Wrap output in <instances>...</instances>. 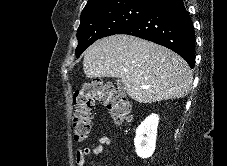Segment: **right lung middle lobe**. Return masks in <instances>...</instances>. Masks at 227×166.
Masks as SVG:
<instances>
[{
  "label": "right lung middle lobe",
  "mask_w": 227,
  "mask_h": 166,
  "mask_svg": "<svg viewBox=\"0 0 227 166\" xmlns=\"http://www.w3.org/2000/svg\"><path fill=\"white\" fill-rule=\"evenodd\" d=\"M152 8L153 6L147 4L130 2L81 14V23L77 30L76 57L96 40L118 34L129 27Z\"/></svg>",
  "instance_id": "right-lung-middle-lobe-1"
}]
</instances>
